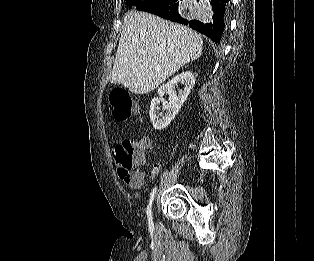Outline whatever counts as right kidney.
I'll list each match as a JSON object with an SVG mask.
<instances>
[{
  "label": "right kidney",
  "instance_id": "obj_1",
  "mask_svg": "<svg viewBox=\"0 0 314 261\" xmlns=\"http://www.w3.org/2000/svg\"><path fill=\"white\" fill-rule=\"evenodd\" d=\"M180 82L184 85L183 89L179 90L178 94L175 92L174 88L177 83ZM195 84V76L191 71L182 72L181 74L175 76L167 84L161 86L158 89L159 97L164 94H169V101L164 105L165 113H158V105L160 103V98H153L151 101V106L149 110L150 120L153 124L155 130H163L166 128L170 122L175 118L179 112L181 106L186 101L191 89Z\"/></svg>",
  "mask_w": 314,
  "mask_h": 261
}]
</instances>
